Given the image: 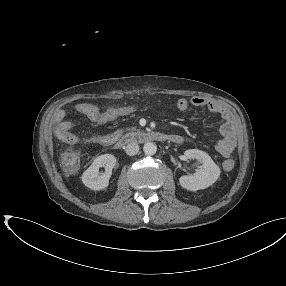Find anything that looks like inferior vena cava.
Wrapping results in <instances>:
<instances>
[{
  "mask_svg": "<svg viewBox=\"0 0 286 286\" xmlns=\"http://www.w3.org/2000/svg\"><path fill=\"white\" fill-rule=\"evenodd\" d=\"M125 152L129 156H134L139 152V145L136 142H130L126 145Z\"/></svg>",
  "mask_w": 286,
  "mask_h": 286,
  "instance_id": "obj_1",
  "label": "inferior vena cava"
}]
</instances>
